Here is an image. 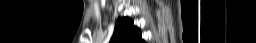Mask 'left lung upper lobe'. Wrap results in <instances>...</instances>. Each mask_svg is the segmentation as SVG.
<instances>
[{
  "instance_id": "5c2ea615",
  "label": "left lung upper lobe",
  "mask_w": 256,
  "mask_h": 43,
  "mask_svg": "<svg viewBox=\"0 0 256 43\" xmlns=\"http://www.w3.org/2000/svg\"><path fill=\"white\" fill-rule=\"evenodd\" d=\"M109 43H144L140 30L129 17L118 18Z\"/></svg>"
}]
</instances>
